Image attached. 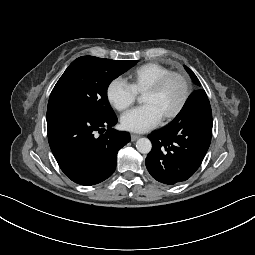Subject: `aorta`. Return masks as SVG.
I'll return each instance as SVG.
<instances>
[{
    "instance_id": "aorta-1",
    "label": "aorta",
    "mask_w": 255,
    "mask_h": 255,
    "mask_svg": "<svg viewBox=\"0 0 255 255\" xmlns=\"http://www.w3.org/2000/svg\"><path fill=\"white\" fill-rule=\"evenodd\" d=\"M136 148L140 153L147 154L152 149L151 141L148 138H140L136 142Z\"/></svg>"
}]
</instances>
